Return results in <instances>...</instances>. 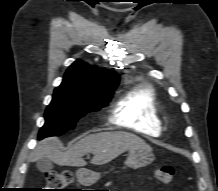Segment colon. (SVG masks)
<instances>
[{"label":"colon","mask_w":218,"mask_h":191,"mask_svg":"<svg viewBox=\"0 0 218 191\" xmlns=\"http://www.w3.org/2000/svg\"><path fill=\"white\" fill-rule=\"evenodd\" d=\"M156 179L163 184H170L174 177V168L170 165L160 166L155 171ZM45 191H71L68 185L72 181L69 171H53L46 175Z\"/></svg>","instance_id":"1"}]
</instances>
